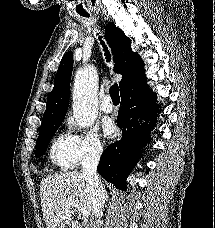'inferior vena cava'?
Returning a JSON list of instances; mask_svg holds the SVG:
<instances>
[{
	"label": "inferior vena cava",
	"instance_id": "602c4592",
	"mask_svg": "<svg viewBox=\"0 0 215 228\" xmlns=\"http://www.w3.org/2000/svg\"><path fill=\"white\" fill-rule=\"evenodd\" d=\"M102 152V146H94L91 152L82 160V176L88 180L89 188H91L92 192L93 212L90 218V228H99V220L103 216L106 200L105 186L97 174V166Z\"/></svg>",
	"mask_w": 215,
	"mask_h": 228
}]
</instances>
